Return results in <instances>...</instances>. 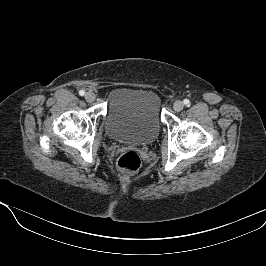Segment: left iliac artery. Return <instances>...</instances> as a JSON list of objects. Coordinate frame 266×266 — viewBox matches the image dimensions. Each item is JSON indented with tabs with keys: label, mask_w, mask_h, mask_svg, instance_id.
Listing matches in <instances>:
<instances>
[{
	"label": "left iliac artery",
	"mask_w": 266,
	"mask_h": 266,
	"mask_svg": "<svg viewBox=\"0 0 266 266\" xmlns=\"http://www.w3.org/2000/svg\"><path fill=\"white\" fill-rule=\"evenodd\" d=\"M184 104L186 105V106H189L190 105V101L188 100V99H184Z\"/></svg>",
	"instance_id": "44dca946"
}]
</instances>
